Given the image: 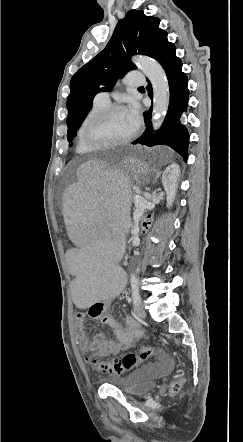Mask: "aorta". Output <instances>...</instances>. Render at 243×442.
<instances>
[{"label": "aorta", "mask_w": 243, "mask_h": 442, "mask_svg": "<svg viewBox=\"0 0 243 442\" xmlns=\"http://www.w3.org/2000/svg\"><path fill=\"white\" fill-rule=\"evenodd\" d=\"M136 63L152 84V127L154 131H157L161 127L169 107L170 90L168 79L164 69L157 61L148 57H139Z\"/></svg>", "instance_id": "obj_1"}]
</instances>
